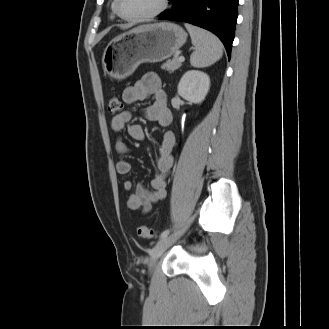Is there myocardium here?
Masks as SVG:
<instances>
[{
  "label": "myocardium",
  "instance_id": "1",
  "mask_svg": "<svg viewBox=\"0 0 329 329\" xmlns=\"http://www.w3.org/2000/svg\"><path fill=\"white\" fill-rule=\"evenodd\" d=\"M114 11L115 13L123 20L130 21V22H141V21H146L153 19L159 15H161L169 5V0H161L160 6L153 12L146 14V15H141V16H135V17H128L125 16L121 13L120 8H119V3L120 0H114Z\"/></svg>",
  "mask_w": 329,
  "mask_h": 329
}]
</instances>
